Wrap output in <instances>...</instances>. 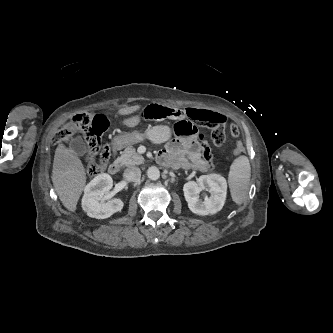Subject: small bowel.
<instances>
[{"mask_svg":"<svg viewBox=\"0 0 333 333\" xmlns=\"http://www.w3.org/2000/svg\"><path fill=\"white\" fill-rule=\"evenodd\" d=\"M194 110L207 115V120H201L202 122H219L223 126L228 123L225 117L219 112L206 109ZM137 123H139L137 116L127 120L128 126H134ZM157 159L160 163L175 168L194 169L201 172L208 169L207 164L201 157L200 143L191 136L169 141L165 145V148L160 151Z\"/></svg>","mask_w":333,"mask_h":333,"instance_id":"obj_1","label":"small bowel"}]
</instances>
